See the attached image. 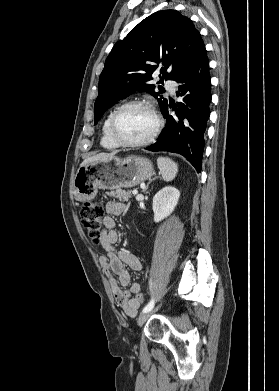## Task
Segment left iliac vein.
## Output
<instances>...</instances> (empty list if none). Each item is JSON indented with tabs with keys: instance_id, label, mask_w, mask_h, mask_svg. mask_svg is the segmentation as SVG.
Segmentation results:
<instances>
[{
	"instance_id": "obj_1",
	"label": "left iliac vein",
	"mask_w": 279,
	"mask_h": 391,
	"mask_svg": "<svg viewBox=\"0 0 279 391\" xmlns=\"http://www.w3.org/2000/svg\"><path fill=\"white\" fill-rule=\"evenodd\" d=\"M161 306H162V302L156 308H154L153 310H150L148 312H145V313L141 314L138 317V319H137V324L139 326H142L153 313H155L157 310L160 309Z\"/></svg>"
}]
</instances>
